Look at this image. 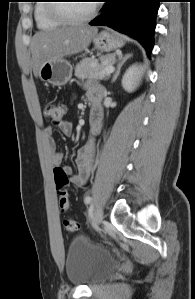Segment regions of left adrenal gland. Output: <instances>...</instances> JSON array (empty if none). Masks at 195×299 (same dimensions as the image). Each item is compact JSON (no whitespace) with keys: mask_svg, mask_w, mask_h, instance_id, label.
<instances>
[{"mask_svg":"<svg viewBox=\"0 0 195 299\" xmlns=\"http://www.w3.org/2000/svg\"><path fill=\"white\" fill-rule=\"evenodd\" d=\"M132 56V54H126L124 56H120L119 59L117 60V70L113 75L112 78V83L117 79V77L119 76L120 70L122 65Z\"/></svg>","mask_w":195,"mask_h":299,"instance_id":"1","label":"left adrenal gland"}]
</instances>
